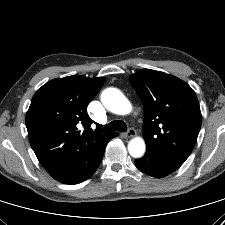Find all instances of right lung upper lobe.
<instances>
[{
  "label": "right lung upper lobe",
  "instance_id": "right-lung-upper-lobe-1",
  "mask_svg": "<svg viewBox=\"0 0 225 225\" xmlns=\"http://www.w3.org/2000/svg\"><path fill=\"white\" fill-rule=\"evenodd\" d=\"M105 78L72 75L47 82L35 93L26 114L32 149L52 177L69 167L90 163L98 148L114 133L92 131L87 106ZM84 126V131L78 127Z\"/></svg>",
  "mask_w": 225,
  "mask_h": 225
}]
</instances>
